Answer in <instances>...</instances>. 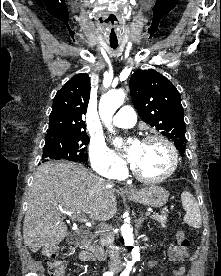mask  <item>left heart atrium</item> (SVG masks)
I'll return each instance as SVG.
<instances>
[{
    "mask_svg": "<svg viewBox=\"0 0 221 276\" xmlns=\"http://www.w3.org/2000/svg\"><path fill=\"white\" fill-rule=\"evenodd\" d=\"M140 143L139 142H134L132 145L130 152H129V159L134 162L137 158L138 150H139Z\"/></svg>",
    "mask_w": 221,
    "mask_h": 276,
    "instance_id": "left-heart-atrium-1",
    "label": "left heart atrium"
}]
</instances>
